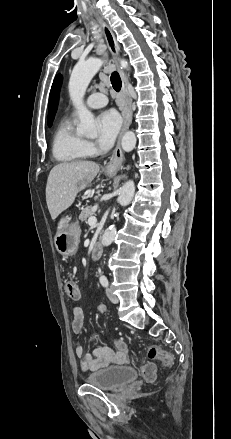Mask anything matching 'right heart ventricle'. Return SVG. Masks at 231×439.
Wrapping results in <instances>:
<instances>
[{
  "mask_svg": "<svg viewBox=\"0 0 231 439\" xmlns=\"http://www.w3.org/2000/svg\"><path fill=\"white\" fill-rule=\"evenodd\" d=\"M52 153L54 158L63 163L78 162L88 155L85 140L75 131L70 118H66L56 129Z\"/></svg>",
  "mask_w": 231,
  "mask_h": 439,
  "instance_id": "e07e8e85",
  "label": "right heart ventricle"
}]
</instances>
